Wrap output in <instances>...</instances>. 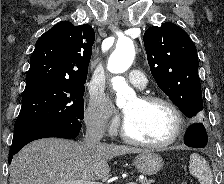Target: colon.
<instances>
[{
	"mask_svg": "<svg viewBox=\"0 0 224 184\" xmlns=\"http://www.w3.org/2000/svg\"><path fill=\"white\" fill-rule=\"evenodd\" d=\"M181 184H190L188 181H183Z\"/></svg>",
	"mask_w": 224,
	"mask_h": 184,
	"instance_id": "5ec220e1",
	"label": "colon"
}]
</instances>
